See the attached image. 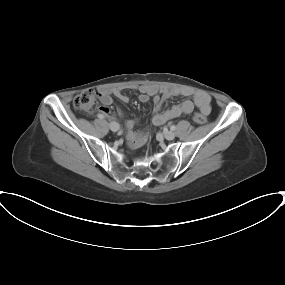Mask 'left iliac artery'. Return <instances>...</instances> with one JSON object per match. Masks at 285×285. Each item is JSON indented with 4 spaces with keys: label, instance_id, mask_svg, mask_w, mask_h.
<instances>
[{
    "label": "left iliac artery",
    "instance_id": "obj_1",
    "mask_svg": "<svg viewBox=\"0 0 285 285\" xmlns=\"http://www.w3.org/2000/svg\"><path fill=\"white\" fill-rule=\"evenodd\" d=\"M170 129H171L172 131H174V130H176V126H175V125H172V126L170 127Z\"/></svg>",
    "mask_w": 285,
    "mask_h": 285
}]
</instances>
